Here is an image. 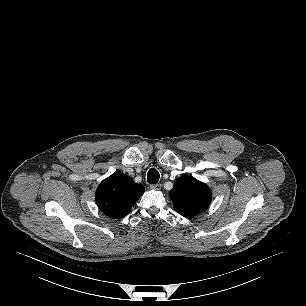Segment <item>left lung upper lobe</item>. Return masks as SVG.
<instances>
[{
  "label": "left lung upper lobe",
  "mask_w": 306,
  "mask_h": 306,
  "mask_svg": "<svg viewBox=\"0 0 306 306\" xmlns=\"http://www.w3.org/2000/svg\"><path fill=\"white\" fill-rule=\"evenodd\" d=\"M170 199L178 213L192 218L208 208L211 192L204 183L193 176L185 175L175 180L174 187L170 190Z\"/></svg>",
  "instance_id": "left-lung-upper-lobe-1"
}]
</instances>
